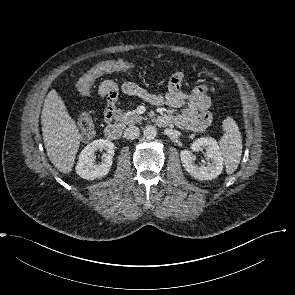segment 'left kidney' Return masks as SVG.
Segmentation results:
<instances>
[{"instance_id": "5707ae66", "label": "left kidney", "mask_w": 295, "mask_h": 295, "mask_svg": "<svg viewBox=\"0 0 295 295\" xmlns=\"http://www.w3.org/2000/svg\"><path fill=\"white\" fill-rule=\"evenodd\" d=\"M190 150H182L180 153L181 162L185 170L193 177L200 180H211L219 176L223 170V157L215 139L202 137L191 144ZM201 149L206 150V157L210 161L206 165L195 164L196 156L193 152Z\"/></svg>"}]
</instances>
